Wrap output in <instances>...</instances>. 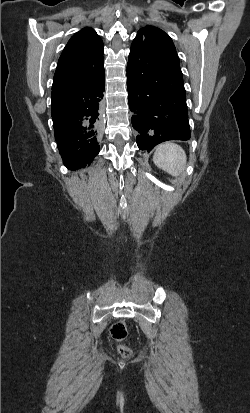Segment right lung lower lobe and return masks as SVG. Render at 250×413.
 Masks as SVG:
<instances>
[{
	"instance_id": "right-lung-lower-lobe-1",
	"label": "right lung lower lobe",
	"mask_w": 250,
	"mask_h": 413,
	"mask_svg": "<svg viewBox=\"0 0 250 413\" xmlns=\"http://www.w3.org/2000/svg\"><path fill=\"white\" fill-rule=\"evenodd\" d=\"M104 77L102 70L87 83L52 89L55 140L65 166L71 170L90 165L100 151L97 141L101 132Z\"/></svg>"
}]
</instances>
